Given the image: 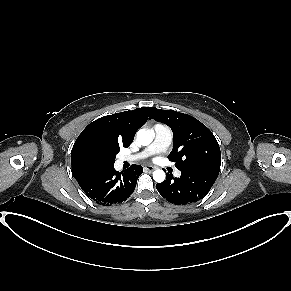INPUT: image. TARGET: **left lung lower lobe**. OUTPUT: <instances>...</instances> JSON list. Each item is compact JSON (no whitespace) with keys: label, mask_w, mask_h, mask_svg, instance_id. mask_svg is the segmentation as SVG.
Wrapping results in <instances>:
<instances>
[{"label":"left lung lower lobe","mask_w":291,"mask_h":291,"mask_svg":"<svg viewBox=\"0 0 291 291\" xmlns=\"http://www.w3.org/2000/svg\"><path fill=\"white\" fill-rule=\"evenodd\" d=\"M180 178L167 174L156 188L163 198L175 205H183L202 199L211 189L219 171L214 168L181 169Z\"/></svg>","instance_id":"obj_1"}]
</instances>
